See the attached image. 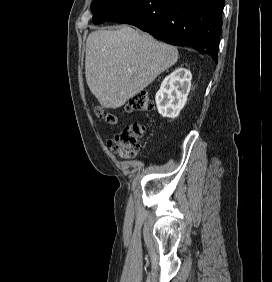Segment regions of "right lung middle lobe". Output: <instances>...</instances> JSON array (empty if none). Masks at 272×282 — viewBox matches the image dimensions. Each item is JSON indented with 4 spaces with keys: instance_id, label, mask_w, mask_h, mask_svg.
Segmentation results:
<instances>
[{
    "instance_id": "right-lung-middle-lobe-1",
    "label": "right lung middle lobe",
    "mask_w": 272,
    "mask_h": 282,
    "mask_svg": "<svg viewBox=\"0 0 272 282\" xmlns=\"http://www.w3.org/2000/svg\"><path fill=\"white\" fill-rule=\"evenodd\" d=\"M136 0H93L91 10L93 23L99 24L108 21Z\"/></svg>"
}]
</instances>
